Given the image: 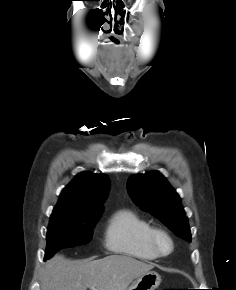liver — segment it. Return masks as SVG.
Returning <instances> with one entry per match:
<instances>
[{"instance_id":"liver-1","label":"liver","mask_w":236,"mask_h":290,"mask_svg":"<svg viewBox=\"0 0 236 290\" xmlns=\"http://www.w3.org/2000/svg\"><path fill=\"white\" fill-rule=\"evenodd\" d=\"M153 267L124 255L97 260H70L56 255L46 263L41 290H126L134 279Z\"/></svg>"}]
</instances>
